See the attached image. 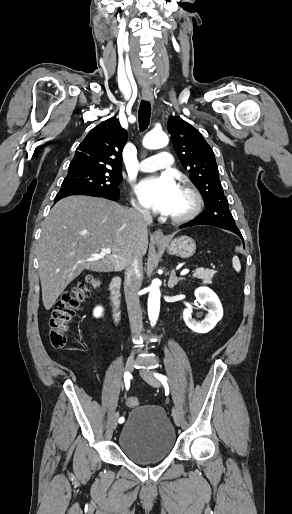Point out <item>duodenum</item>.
Listing matches in <instances>:
<instances>
[{"label":"duodenum","instance_id":"obj_1","mask_svg":"<svg viewBox=\"0 0 292 514\" xmlns=\"http://www.w3.org/2000/svg\"><path fill=\"white\" fill-rule=\"evenodd\" d=\"M121 278L116 276L113 277L109 284V298L108 306L111 312V317L115 322L121 320V309H120V287Z\"/></svg>","mask_w":292,"mask_h":514}]
</instances>
